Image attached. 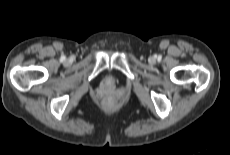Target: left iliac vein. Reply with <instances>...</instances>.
Segmentation results:
<instances>
[{
	"label": "left iliac vein",
	"mask_w": 230,
	"mask_h": 155,
	"mask_svg": "<svg viewBox=\"0 0 230 155\" xmlns=\"http://www.w3.org/2000/svg\"><path fill=\"white\" fill-rule=\"evenodd\" d=\"M150 61H151V62H154V58H151Z\"/></svg>",
	"instance_id": "4c4485c4"
}]
</instances>
